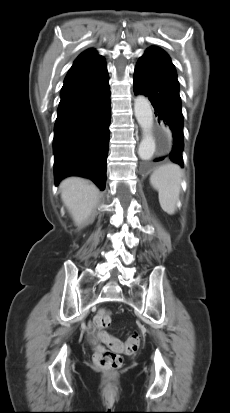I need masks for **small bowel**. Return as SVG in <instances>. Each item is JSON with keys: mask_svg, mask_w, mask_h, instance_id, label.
I'll use <instances>...</instances> for the list:
<instances>
[{"mask_svg": "<svg viewBox=\"0 0 230 413\" xmlns=\"http://www.w3.org/2000/svg\"><path fill=\"white\" fill-rule=\"evenodd\" d=\"M87 330L90 336H96L102 343L110 345V341L113 339L108 333L97 331V328L91 322L88 323Z\"/></svg>", "mask_w": 230, "mask_h": 413, "instance_id": "small-bowel-1", "label": "small bowel"}]
</instances>
